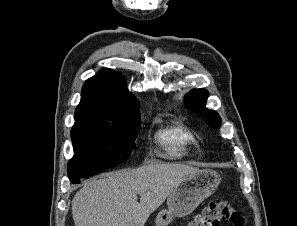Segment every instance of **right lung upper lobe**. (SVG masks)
<instances>
[{
	"mask_svg": "<svg viewBox=\"0 0 297 226\" xmlns=\"http://www.w3.org/2000/svg\"><path fill=\"white\" fill-rule=\"evenodd\" d=\"M130 108L139 109V104L127 90L123 77L104 70L85 82L75 110V124L118 125L121 113Z\"/></svg>",
	"mask_w": 297,
	"mask_h": 226,
	"instance_id": "obj_1",
	"label": "right lung upper lobe"
}]
</instances>
